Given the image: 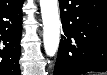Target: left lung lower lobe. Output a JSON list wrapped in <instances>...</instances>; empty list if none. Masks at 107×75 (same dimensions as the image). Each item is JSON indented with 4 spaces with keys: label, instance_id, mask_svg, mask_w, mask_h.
Listing matches in <instances>:
<instances>
[{
    "label": "left lung lower lobe",
    "instance_id": "obj_1",
    "mask_svg": "<svg viewBox=\"0 0 107 75\" xmlns=\"http://www.w3.org/2000/svg\"><path fill=\"white\" fill-rule=\"evenodd\" d=\"M61 36L54 75L107 72V0H59ZM81 20L84 31L76 41L66 37L68 23Z\"/></svg>",
    "mask_w": 107,
    "mask_h": 75
}]
</instances>
